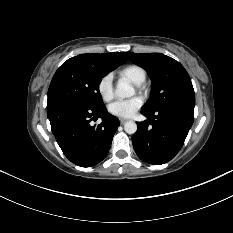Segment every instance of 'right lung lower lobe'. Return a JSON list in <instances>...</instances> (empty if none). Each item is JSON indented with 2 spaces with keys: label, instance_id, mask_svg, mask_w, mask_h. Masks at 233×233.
I'll return each instance as SVG.
<instances>
[{
  "label": "right lung lower lobe",
  "instance_id": "1",
  "mask_svg": "<svg viewBox=\"0 0 233 233\" xmlns=\"http://www.w3.org/2000/svg\"><path fill=\"white\" fill-rule=\"evenodd\" d=\"M47 116L63 153L81 167L94 166L106 157L120 125L105 106L93 109L70 101L47 103ZM98 117L102 123L92 126L91 120Z\"/></svg>",
  "mask_w": 233,
  "mask_h": 233
}]
</instances>
